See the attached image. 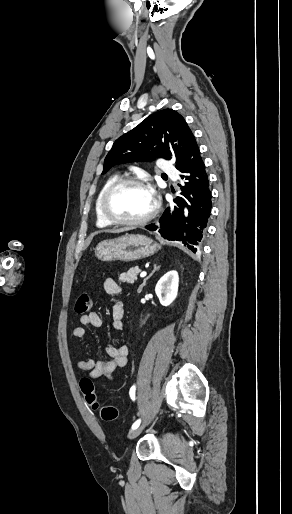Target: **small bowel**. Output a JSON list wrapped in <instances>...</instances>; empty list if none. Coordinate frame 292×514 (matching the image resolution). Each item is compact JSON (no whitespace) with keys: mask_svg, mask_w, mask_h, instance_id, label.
<instances>
[{"mask_svg":"<svg viewBox=\"0 0 292 514\" xmlns=\"http://www.w3.org/2000/svg\"><path fill=\"white\" fill-rule=\"evenodd\" d=\"M104 290L109 295L121 293V287L113 278H106L103 283ZM125 307L121 302H116L112 306V328L114 331H121L124 328ZM82 326L74 327L72 336L77 339H84L88 336L87 330L83 326L100 328L103 324L102 318L97 312H90L80 317ZM109 360H94L92 358L79 360L76 366L79 370L87 372V377L91 380L106 378L112 379L116 371L127 364L128 347L126 345L108 346L106 349Z\"/></svg>","mask_w":292,"mask_h":514,"instance_id":"small-bowel-1","label":"small bowel"}]
</instances>
